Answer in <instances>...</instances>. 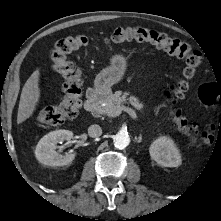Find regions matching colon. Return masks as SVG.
I'll list each match as a JSON object with an SVG mask.
<instances>
[{
    "instance_id": "colon-1",
    "label": "colon",
    "mask_w": 221,
    "mask_h": 221,
    "mask_svg": "<svg viewBox=\"0 0 221 221\" xmlns=\"http://www.w3.org/2000/svg\"><path fill=\"white\" fill-rule=\"evenodd\" d=\"M130 41L148 42L170 55L184 59L185 66L181 77L165 92V98L170 104V115L178 131L191 142L211 143L214 138L213 131L211 129L199 131L184 116L181 109L174 105L186 95L189 89V80L195 76L201 64V54L188 44L163 32L141 27L117 28L104 39L105 44H120ZM89 43L90 40L87 36L79 34L60 39L52 48L50 52L52 68L63 79L64 95L59 104L39 112L38 121L40 123L55 126L77 115L81 106L82 76L79 67L69 60L68 55ZM199 97L208 108L215 106L217 102L221 104V93L215 85L210 83L201 85Z\"/></svg>"
}]
</instances>
